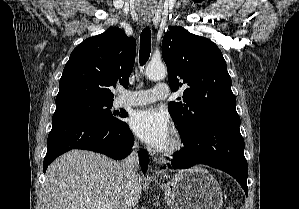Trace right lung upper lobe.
<instances>
[{
    "instance_id": "obj_1",
    "label": "right lung upper lobe",
    "mask_w": 299,
    "mask_h": 209,
    "mask_svg": "<svg viewBox=\"0 0 299 209\" xmlns=\"http://www.w3.org/2000/svg\"><path fill=\"white\" fill-rule=\"evenodd\" d=\"M136 40L112 27L90 37L71 53L59 82L56 105L70 102H113L112 87L128 86Z\"/></svg>"
}]
</instances>
